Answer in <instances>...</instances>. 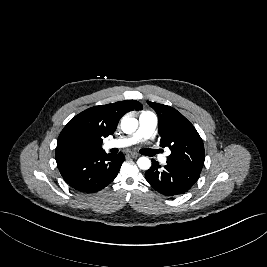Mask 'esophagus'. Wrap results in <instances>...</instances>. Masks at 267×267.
<instances>
[{"label": "esophagus", "mask_w": 267, "mask_h": 267, "mask_svg": "<svg viewBox=\"0 0 267 267\" xmlns=\"http://www.w3.org/2000/svg\"><path fill=\"white\" fill-rule=\"evenodd\" d=\"M131 157H133V158H137V157H139V154L138 153H136V152H131Z\"/></svg>", "instance_id": "obj_1"}]
</instances>
